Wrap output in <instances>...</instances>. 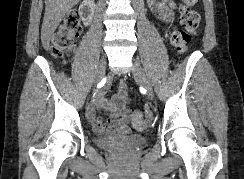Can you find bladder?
Returning a JSON list of instances; mask_svg holds the SVG:
<instances>
[{"mask_svg": "<svg viewBox=\"0 0 244 179\" xmlns=\"http://www.w3.org/2000/svg\"><path fill=\"white\" fill-rule=\"evenodd\" d=\"M125 141L128 143V146L124 148V152H140L150 145V137L144 136L128 139Z\"/></svg>", "mask_w": 244, "mask_h": 179, "instance_id": "bladder-1", "label": "bladder"}]
</instances>
